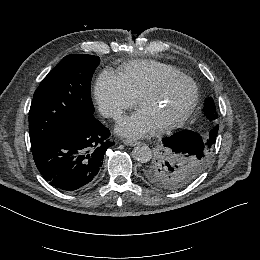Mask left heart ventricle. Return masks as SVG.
I'll return each mask as SVG.
<instances>
[{"instance_id":"obj_1","label":"left heart ventricle","mask_w":260,"mask_h":260,"mask_svg":"<svg viewBox=\"0 0 260 260\" xmlns=\"http://www.w3.org/2000/svg\"><path fill=\"white\" fill-rule=\"evenodd\" d=\"M194 94L193 85L184 79L165 85L157 94L146 99L142 109L153 126L177 117L187 106Z\"/></svg>"}]
</instances>
